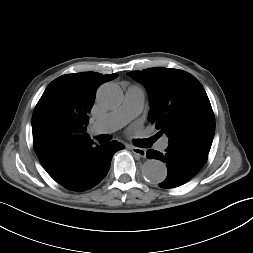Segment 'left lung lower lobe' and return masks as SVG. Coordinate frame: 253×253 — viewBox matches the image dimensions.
I'll use <instances>...</instances> for the list:
<instances>
[{"label":"left lung lower lobe","mask_w":253,"mask_h":253,"mask_svg":"<svg viewBox=\"0 0 253 253\" xmlns=\"http://www.w3.org/2000/svg\"><path fill=\"white\" fill-rule=\"evenodd\" d=\"M147 157L158 159L167 164V177L159 186L174 188L193 178L206 163L208 155L187 147L169 145L165 154L149 149Z\"/></svg>","instance_id":"0a47b994"}]
</instances>
